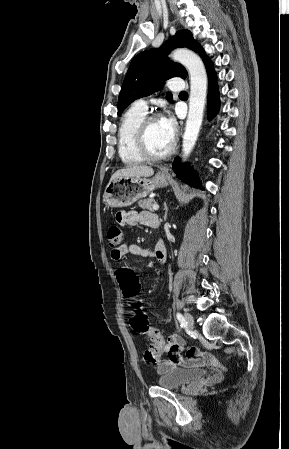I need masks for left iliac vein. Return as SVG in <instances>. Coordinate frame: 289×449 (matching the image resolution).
Instances as JSON below:
<instances>
[{"label":"left iliac vein","instance_id":"obj_1","mask_svg":"<svg viewBox=\"0 0 289 449\" xmlns=\"http://www.w3.org/2000/svg\"><path fill=\"white\" fill-rule=\"evenodd\" d=\"M185 320L187 322V326L189 329H193V325H194V319L193 316L190 313H185L184 314Z\"/></svg>","mask_w":289,"mask_h":449}]
</instances>
